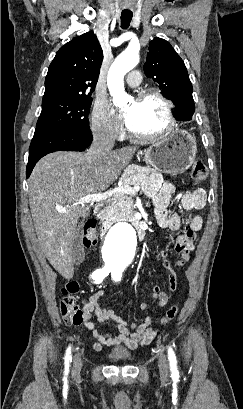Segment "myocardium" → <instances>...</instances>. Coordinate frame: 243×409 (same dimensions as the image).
<instances>
[{"instance_id":"obj_1","label":"myocardium","mask_w":243,"mask_h":409,"mask_svg":"<svg viewBox=\"0 0 243 409\" xmlns=\"http://www.w3.org/2000/svg\"><path fill=\"white\" fill-rule=\"evenodd\" d=\"M149 98L158 100L164 106L166 120H167L166 126L162 130L156 133L147 134V135L134 134L128 129V135L133 141H136V142L154 141L168 134L175 127L176 119H175L174 111H173V103L166 96H164L161 92H159L156 89L141 90L135 96L136 101H144Z\"/></svg>"}]
</instances>
